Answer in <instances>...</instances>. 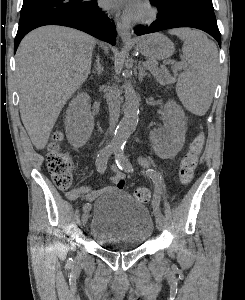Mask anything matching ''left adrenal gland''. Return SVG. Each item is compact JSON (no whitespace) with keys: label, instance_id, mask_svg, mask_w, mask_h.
I'll return each mask as SVG.
<instances>
[{"label":"left adrenal gland","instance_id":"left-adrenal-gland-1","mask_svg":"<svg viewBox=\"0 0 245 300\" xmlns=\"http://www.w3.org/2000/svg\"><path fill=\"white\" fill-rule=\"evenodd\" d=\"M138 70H139V74H138V77H139V81L142 82L143 79L147 76V77H150V74L145 72V70L143 69L141 63H139L138 65Z\"/></svg>","mask_w":245,"mask_h":300}]
</instances>
